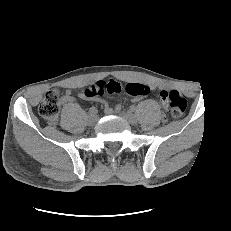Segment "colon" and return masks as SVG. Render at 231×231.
I'll use <instances>...</instances> for the list:
<instances>
[{"instance_id": "obj_1", "label": "colon", "mask_w": 231, "mask_h": 231, "mask_svg": "<svg viewBox=\"0 0 231 231\" xmlns=\"http://www.w3.org/2000/svg\"><path fill=\"white\" fill-rule=\"evenodd\" d=\"M150 89L146 85L139 83H121L110 80L108 82H96L84 90L86 97L102 96L105 93H126L133 97H145ZM62 91L53 88L46 92L39 105V114L50 125H55L58 121L60 105L62 101ZM161 100L165 108L174 116L180 117L187 108V101L176 89L164 90L160 93Z\"/></svg>"}]
</instances>
